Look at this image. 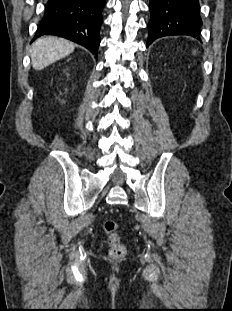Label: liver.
Here are the masks:
<instances>
[{
	"instance_id": "6515ba94",
	"label": "liver",
	"mask_w": 232,
	"mask_h": 311,
	"mask_svg": "<svg viewBox=\"0 0 232 311\" xmlns=\"http://www.w3.org/2000/svg\"><path fill=\"white\" fill-rule=\"evenodd\" d=\"M75 49L72 42L55 36L37 39L30 48L32 66L35 70H41L48 65L60 60Z\"/></svg>"
}]
</instances>
